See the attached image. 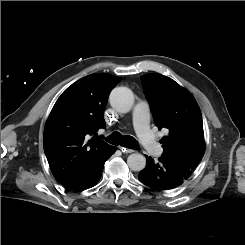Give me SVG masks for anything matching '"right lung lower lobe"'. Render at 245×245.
<instances>
[{"label": "right lung lower lobe", "instance_id": "98d812e1", "mask_svg": "<svg viewBox=\"0 0 245 245\" xmlns=\"http://www.w3.org/2000/svg\"><path fill=\"white\" fill-rule=\"evenodd\" d=\"M116 151L113 147L107 154L103 157L95 158L90 160L88 164L79 169L61 184L73 191H83L87 188H91L98 183L101 178L104 163L111 157V155Z\"/></svg>", "mask_w": 245, "mask_h": 245}]
</instances>
